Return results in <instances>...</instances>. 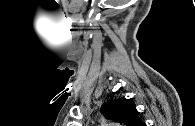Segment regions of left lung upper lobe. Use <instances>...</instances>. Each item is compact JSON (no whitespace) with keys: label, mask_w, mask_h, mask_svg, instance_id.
Segmentation results:
<instances>
[{"label":"left lung upper lobe","mask_w":195,"mask_h":126,"mask_svg":"<svg viewBox=\"0 0 195 126\" xmlns=\"http://www.w3.org/2000/svg\"><path fill=\"white\" fill-rule=\"evenodd\" d=\"M101 112L107 119L126 126H140L143 123L139 119L136 108L126 98L106 102L102 105Z\"/></svg>","instance_id":"obj_1"}]
</instances>
